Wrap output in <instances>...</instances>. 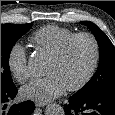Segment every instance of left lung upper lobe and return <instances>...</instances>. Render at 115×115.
<instances>
[{
    "mask_svg": "<svg viewBox=\"0 0 115 115\" xmlns=\"http://www.w3.org/2000/svg\"><path fill=\"white\" fill-rule=\"evenodd\" d=\"M93 32L99 48L100 61L96 73L91 80L73 96L87 98L101 93L115 92V49L107 35L94 23L81 22Z\"/></svg>",
    "mask_w": 115,
    "mask_h": 115,
    "instance_id": "obj_1",
    "label": "left lung upper lobe"
}]
</instances>
